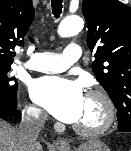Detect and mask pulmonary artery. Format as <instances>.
Wrapping results in <instances>:
<instances>
[{"instance_id":"pulmonary-artery-1","label":"pulmonary artery","mask_w":131,"mask_h":151,"mask_svg":"<svg viewBox=\"0 0 131 151\" xmlns=\"http://www.w3.org/2000/svg\"><path fill=\"white\" fill-rule=\"evenodd\" d=\"M82 55V48L77 43H70L63 53L39 52L35 53L25 67L45 73H60L67 70Z\"/></svg>"}]
</instances>
